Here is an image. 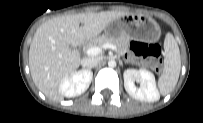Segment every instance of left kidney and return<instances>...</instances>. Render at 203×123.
<instances>
[{"mask_svg":"<svg viewBox=\"0 0 203 123\" xmlns=\"http://www.w3.org/2000/svg\"><path fill=\"white\" fill-rule=\"evenodd\" d=\"M135 81L140 83V88H136ZM124 86L133 98L140 101L154 102L159 99L155 86V78L151 72L126 70L124 72Z\"/></svg>","mask_w":203,"mask_h":123,"instance_id":"obj_1","label":"left kidney"}]
</instances>
